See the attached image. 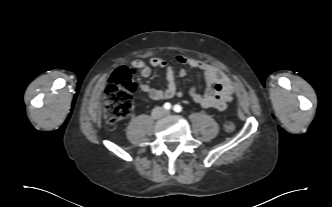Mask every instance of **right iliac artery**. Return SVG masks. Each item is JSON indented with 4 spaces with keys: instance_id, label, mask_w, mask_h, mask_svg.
Here are the masks:
<instances>
[{
    "instance_id": "82829eb1",
    "label": "right iliac artery",
    "mask_w": 332,
    "mask_h": 207,
    "mask_svg": "<svg viewBox=\"0 0 332 207\" xmlns=\"http://www.w3.org/2000/svg\"><path fill=\"white\" fill-rule=\"evenodd\" d=\"M163 107H164V109H166V110H170V109H171V104L167 102V103L164 104Z\"/></svg>"
}]
</instances>
